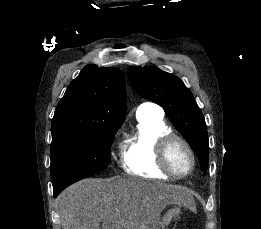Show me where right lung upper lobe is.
I'll return each instance as SVG.
<instances>
[{
	"mask_svg": "<svg viewBox=\"0 0 261 229\" xmlns=\"http://www.w3.org/2000/svg\"><path fill=\"white\" fill-rule=\"evenodd\" d=\"M125 102V80L119 69L85 66L55 109L51 145L97 126L122 125L126 115Z\"/></svg>",
	"mask_w": 261,
	"mask_h": 229,
	"instance_id": "right-lung-upper-lobe-1",
	"label": "right lung upper lobe"
}]
</instances>
